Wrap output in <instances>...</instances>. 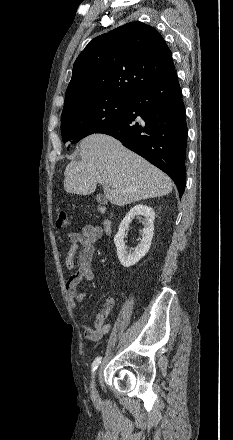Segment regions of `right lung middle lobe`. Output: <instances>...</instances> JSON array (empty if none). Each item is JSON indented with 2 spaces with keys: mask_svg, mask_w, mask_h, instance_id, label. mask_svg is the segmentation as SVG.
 <instances>
[{
  "mask_svg": "<svg viewBox=\"0 0 233 440\" xmlns=\"http://www.w3.org/2000/svg\"><path fill=\"white\" fill-rule=\"evenodd\" d=\"M128 103L129 99L91 98L64 107L61 116L63 142L74 144L97 133L118 119Z\"/></svg>",
  "mask_w": 233,
  "mask_h": 440,
  "instance_id": "dd1d6c3e",
  "label": "right lung middle lobe"
}]
</instances>
